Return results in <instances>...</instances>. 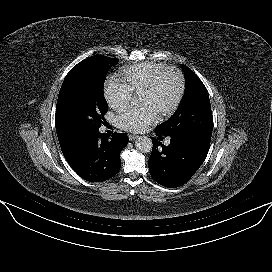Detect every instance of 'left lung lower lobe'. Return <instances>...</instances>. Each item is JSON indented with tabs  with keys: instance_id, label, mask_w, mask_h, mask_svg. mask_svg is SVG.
Wrapping results in <instances>:
<instances>
[{
	"instance_id": "left-lung-lower-lobe-1",
	"label": "left lung lower lobe",
	"mask_w": 272,
	"mask_h": 272,
	"mask_svg": "<svg viewBox=\"0 0 272 272\" xmlns=\"http://www.w3.org/2000/svg\"><path fill=\"white\" fill-rule=\"evenodd\" d=\"M158 138H152L153 148L148 166L151 177L160 185L176 188L185 184L204 162L210 140L192 136H170L165 146L164 135L155 130Z\"/></svg>"
}]
</instances>
